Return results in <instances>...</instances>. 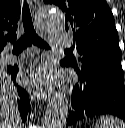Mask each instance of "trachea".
I'll return each instance as SVG.
<instances>
[{
	"label": "trachea",
	"instance_id": "trachea-1",
	"mask_svg": "<svg viewBox=\"0 0 125 128\" xmlns=\"http://www.w3.org/2000/svg\"><path fill=\"white\" fill-rule=\"evenodd\" d=\"M22 21L24 27V35L17 42L13 43V52H21L23 49H25L31 44L37 45L38 47L44 49H50V46L35 32L29 5L26 1L23 4ZM65 51H70V49H67Z\"/></svg>",
	"mask_w": 125,
	"mask_h": 128
}]
</instances>
